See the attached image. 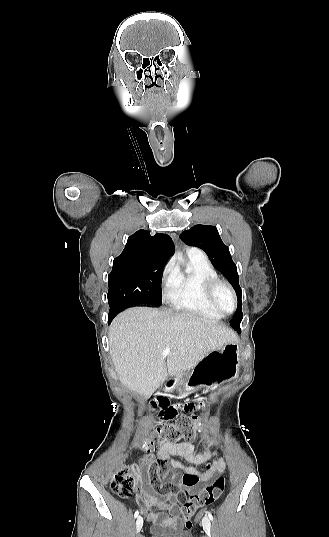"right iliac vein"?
<instances>
[{"instance_id": "1", "label": "right iliac vein", "mask_w": 329, "mask_h": 537, "mask_svg": "<svg viewBox=\"0 0 329 537\" xmlns=\"http://www.w3.org/2000/svg\"><path fill=\"white\" fill-rule=\"evenodd\" d=\"M143 526V519L142 517H138L136 521V533H139Z\"/></svg>"}]
</instances>
